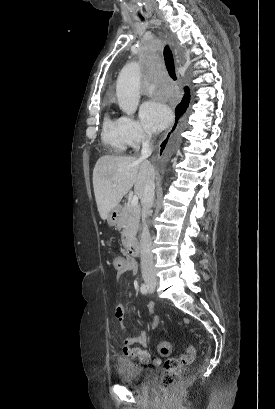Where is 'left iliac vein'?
<instances>
[{
  "label": "left iliac vein",
  "instance_id": "4c4485c4",
  "mask_svg": "<svg viewBox=\"0 0 275 409\" xmlns=\"http://www.w3.org/2000/svg\"><path fill=\"white\" fill-rule=\"evenodd\" d=\"M154 292V288H150L149 293H153Z\"/></svg>",
  "mask_w": 275,
  "mask_h": 409
}]
</instances>
